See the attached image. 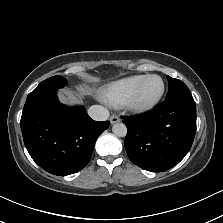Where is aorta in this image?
<instances>
[{
    "label": "aorta",
    "instance_id": "aorta-1",
    "mask_svg": "<svg viewBox=\"0 0 223 223\" xmlns=\"http://www.w3.org/2000/svg\"><path fill=\"white\" fill-rule=\"evenodd\" d=\"M112 132L117 136L122 137L126 135L127 129L124 123L118 122L112 125Z\"/></svg>",
    "mask_w": 223,
    "mask_h": 223
}]
</instances>
